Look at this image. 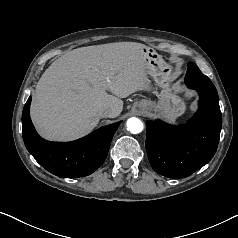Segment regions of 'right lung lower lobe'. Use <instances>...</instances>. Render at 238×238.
Here are the masks:
<instances>
[{
	"mask_svg": "<svg viewBox=\"0 0 238 238\" xmlns=\"http://www.w3.org/2000/svg\"><path fill=\"white\" fill-rule=\"evenodd\" d=\"M31 97L23 113V140L35 160L52 174L63 178L87 176L104 162L114 133L120 122L101 127L72 142L57 143L41 138L31 122Z\"/></svg>",
	"mask_w": 238,
	"mask_h": 238,
	"instance_id": "98d812e1",
	"label": "right lung lower lobe"
}]
</instances>
